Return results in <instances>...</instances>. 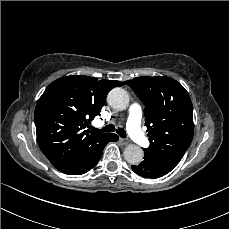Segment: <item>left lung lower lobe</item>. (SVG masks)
Listing matches in <instances>:
<instances>
[{
    "label": "left lung lower lobe",
    "mask_w": 229,
    "mask_h": 229,
    "mask_svg": "<svg viewBox=\"0 0 229 229\" xmlns=\"http://www.w3.org/2000/svg\"><path fill=\"white\" fill-rule=\"evenodd\" d=\"M132 170L145 178H159L163 175H165V173L160 172L159 170H157L153 165H151L148 161L144 160L143 162H141L139 165L134 166L132 165Z\"/></svg>",
    "instance_id": "1"
}]
</instances>
